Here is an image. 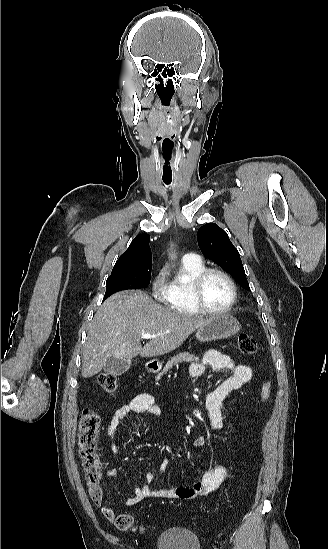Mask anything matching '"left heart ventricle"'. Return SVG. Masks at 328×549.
Segmentation results:
<instances>
[{
	"instance_id": "obj_1",
	"label": "left heart ventricle",
	"mask_w": 328,
	"mask_h": 549,
	"mask_svg": "<svg viewBox=\"0 0 328 549\" xmlns=\"http://www.w3.org/2000/svg\"><path fill=\"white\" fill-rule=\"evenodd\" d=\"M202 295L206 304L201 305L207 309L219 310L225 307L231 300L232 288L229 281L219 273L210 274L202 288Z\"/></svg>"
}]
</instances>
